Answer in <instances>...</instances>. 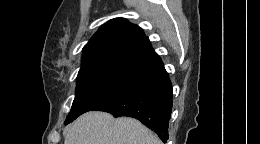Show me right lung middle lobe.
Segmentation results:
<instances>
[{
	"label": "right lung middle lobe",
	"mask_w": 260,
	"mask_h": 144,
	"mask_svg": "<svg viewBox=\"0 0 260 144\" xmlns=\"http://www.w3.org/2000/svg\"><path fill=\"white\" fill-rule=\"evenodd\" d=\"M136 71L110 67H92L80 70L71 111L65 124L92 110L126 85Z\"/></svg>",
	"instance_id": "1"
}]
</instances>
